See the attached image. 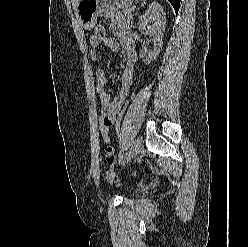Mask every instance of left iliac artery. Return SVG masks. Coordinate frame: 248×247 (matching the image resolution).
<instances>
[{
    "instance_id": "1",
    "label": "left iliac artery",
    "mask_w": 248,
    "mask_h": 247,
    "mask_svg": "<svg viewBox=\"0 0 248 247\" xmlns=\"http://www.w3.org/2000/svg\"><path fill=\"white\" fill-rule=\"evenodd\" d=\"M123 151L120 152V155H119V163L123 160Z\"/></svg>"
}]
</instances>
